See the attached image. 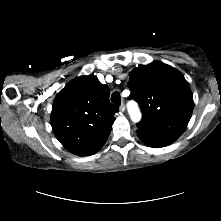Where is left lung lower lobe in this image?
Instances as JSON below:
<instances>
[{
  "instance_id": "obj_1",
  "label": "left lung lower lobe",
  "mask_w": 221,
  "mask_h": 221,
  "mask_svg": "<svg viewBox=\"0 0 221 221\" xmlns=\"http://www.w3.org/2000/svg\"><path fill=\"white\" fill-rule=\"evenodd\" d=\"M137 134L141 140H143L147 145L153 148H160L167 146L177 139L173 137L157 135L142 129H138Z\"/></svg>"
}]
</instances>
